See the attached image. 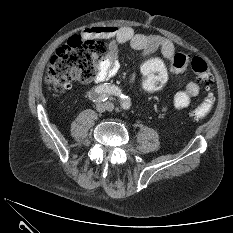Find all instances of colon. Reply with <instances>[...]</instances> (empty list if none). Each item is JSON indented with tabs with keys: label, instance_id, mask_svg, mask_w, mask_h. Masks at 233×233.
<instances>
[{
	"label": "colon",
	"instance_id": "5ec220e1",
	"mask_svg": "<svg viewBox=\"0 0 233 233\" xmlns=\"http://www.w3.org/2000/svg\"><path fill=\"white\" fill-rule=\"evenodd\" d=\"M108 50L103 39L85 38L79 35L72 37L59 48L50 59L46 70L45 81L57 92L68 90L73 82H87L95 75V65ZM168 67L175 74H180L191 67L199 82L208 91L203 101L190 113L193 119L204 118L214 104V95L209 90L214 77L208 64L200 57L190 58L184 53L174 54L165 63L159 58H148L142 66V87L146 92L160 90L167 79Z\"/></svg>",
	"mask_w": 233,
	"mask_h": 233
}]
</instances>
